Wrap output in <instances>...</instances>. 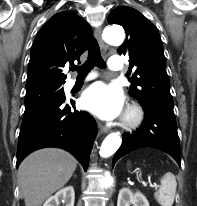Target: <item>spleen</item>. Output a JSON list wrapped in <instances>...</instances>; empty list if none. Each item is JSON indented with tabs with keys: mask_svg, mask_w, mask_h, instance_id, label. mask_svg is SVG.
Returning <instances> with one entry per match:
<instances>
[{
	"mask_svg": "<svg viewBox=\"0 0 197 206\" xmlns=\"http://www.w3.org/2000/svg\"><path fill=\"white\" fill-rule=\"evenodd\" d=\"M161 186L154 196L161 206H172L175 199L177 182L173 173L167 172L160 180Z\"/></svg>",
	"mask_w": 197,
	"mask_h": 206,
	"instance_id": "spleen-1",
	"label": "spleen"
}]
</instances>
